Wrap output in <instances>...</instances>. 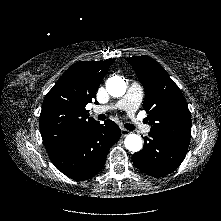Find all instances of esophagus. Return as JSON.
Segmentation results:
<instances>
[{"mask_svg": "<svg viewBox=\"0 0 221 221\" xmlns=\"http://www.w3.org/2000/svg\"><path fill=\"white\" fill-rule=\"evenodd\" d=\"M129 133H130L129 130L124 129V128L121 129V134H122L123 137L127 136Z\"/></svg>", "mask_w": 221, "mask_h": 221, "instance_id": "obj_1", "label": "esophagus"}]
</instances>
